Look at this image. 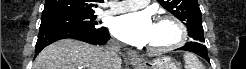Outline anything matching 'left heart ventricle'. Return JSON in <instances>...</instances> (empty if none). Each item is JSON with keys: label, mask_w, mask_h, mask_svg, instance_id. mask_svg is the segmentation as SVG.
<instances>
[{"label": "left heart ventricle", "mask_w": 246, "mask_h": 69, "mask_svg": "<svg viewBox=\"0 0 246 69\" xmlns=\"http://www.w3.org/2000/svg\"><path fill=\"white\" fill-rule=\"evenodd\" d=\"M177 38L176 28L169 22H155L148 45H167Z\"/></svg>", "instance_id": "obj_1"}]
</instances>
